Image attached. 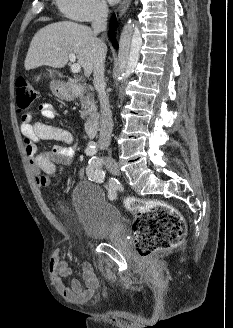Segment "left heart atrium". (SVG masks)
I'll use <instances>...</instances> for the list:
<instances>
[{
	"label": "left heart atrium",
	"mask_w": 233,
	"mask_h": 328,
	"mask_svg": "<svg viewBox=\"0 0 233 328\" xmlns=\"http://www.w3.org/2000/svg\"><path fill=\"white\" fill-rule=\"evenodd\" d=\"M111 4L117 3L119 0H108Z\"/></svg>",
	"instance_id": "1"
}]
</instances>
